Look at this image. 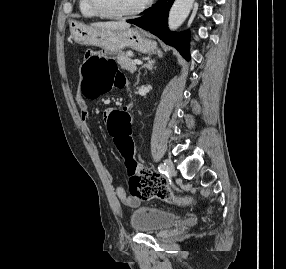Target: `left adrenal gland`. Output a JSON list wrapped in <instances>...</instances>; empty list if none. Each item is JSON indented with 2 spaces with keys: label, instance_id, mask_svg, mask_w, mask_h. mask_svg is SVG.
Returning a JSON list of instances; mask_svg holds the SVG:
<instances>
[{
  "label": "left adrenal gland",
  "instance_id": "obj_1",
  "mask_svg": "<svg viewBox=\"0 0 286 269\" xmlns=\"http://www.w3.org/2000/svg\"><path fill=\"white\" fill-rule=\"evenodd\" d=\"M154 64H155V60H149V61H147L146 64H144L142 67H140V69L138 70L137 83L136 84H138L140 81L141 69L147 68L149 70H152L154 68Z\"/></svg>",
  "mask_w": 286,
  "mask_h": 269
}]
</instances>
